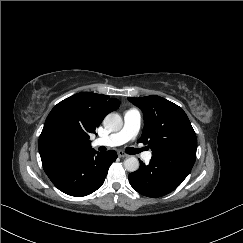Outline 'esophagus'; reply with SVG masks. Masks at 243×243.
I'll list each match as a JSON object with an SVG mask.
<instances>
[{"instance_id":"esophagus-1","label":"esophagus","mask_w":243,"mask_h":243,"mask_svg":"<svg viewBox=\"0 0 243 243\" xmlns=\"http://www.w3.org/2000/svg\"><path fill=\"white\" fill-rule=\"evenodd\" d=\"M118 156L120 157V158H126V157H128V154H126L125 152H123V151H118Z\"/></svg>"}]
</instances>
